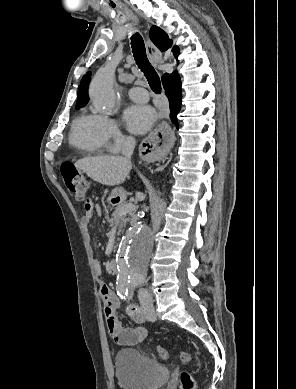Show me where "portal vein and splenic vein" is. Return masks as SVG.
Returning a JSON list of instances; mask_svg holds the SVG:
<instances>
[{"instance_id":"obj_1","label":"portal vein and splenic vein","mask_w":296,"mask_h":389,"mask_svg":"<svg viewBox=\"0 0 296 389\" xmlns=\"http://www.w3.org/2000/svg\"><path fill=\"white\" fill-rule=\"evenodd\" d=\"M134 209H135L134 204H132V203L126 204L125 206H123L121 208L120 215H124L126 213L132 212Z\"/></svg>"}]
</instances>
